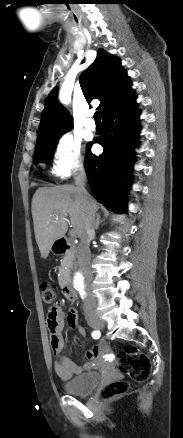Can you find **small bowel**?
<instances>
[{"instance_id": "small-bowel-1", "label": "small bowel", "mask_w": 183, "mask_h": 438, "mask_svg": "<svg viewBox=\"0 0 183 438\" xmlns=\"http://www.w3.org/2000/svg\"><path fill=\"white\" fill-rule=\"evenodd\" d=\"M66 319L71 327L76 328L81 335H85L83 327L78 326V313L75 308L70 309L67 315L60 307H53L49 310L47 315V327L50 333L52 352L57 357V360L54 363V370L62 380H68L74 375L81 373L84 369H89L91 367V364H86L84 367H80L70 358L63 355L64 339L62 332ZM104 347V343L94 346L87 352V358H97Z\"/></svg>"}]
</instances>
